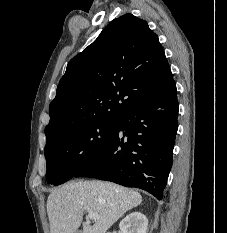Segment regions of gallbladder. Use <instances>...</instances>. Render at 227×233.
<instances>
[{
	"mask_svg": "<svg viewBox=\"0 0 227 233\" xmlns=\"http://www.w3.org/2000/svg\"><path fill=\"white\" fill-rule=\"evenodd\" d=\"M75 233H82L81 231H76Z\"/></svg>",
	"mask_w": 227,
	"mask_h": 233,
	"instance_id": "bac80fb5",
	"label": "gallbladder"
}]
</instances>
